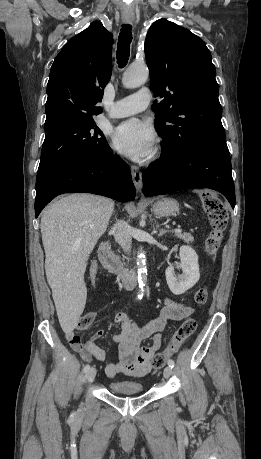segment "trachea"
I'll return each instance as SVG.
<instances>
[{"mask_svg":"<svg viewBox=\"0 0 261 459\" xmlns=\"http://www.w3.org/2000/svg\"><path fill=\"white\" fill-rule=\"evenodd\" d=\"M122 30L118 38V46L116 51L117 63L120 68H123L128 63L130 55V44L132 41L131 25H122Z\"/></svg>","mask_w":261,"mask_h":459,"instance_id":"obj_1","label":"trachea"}]
</instances>
